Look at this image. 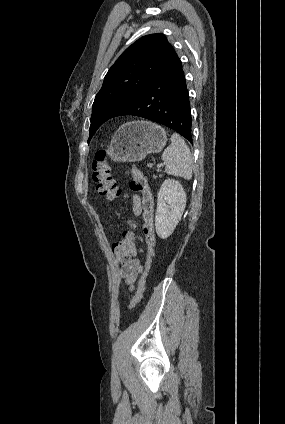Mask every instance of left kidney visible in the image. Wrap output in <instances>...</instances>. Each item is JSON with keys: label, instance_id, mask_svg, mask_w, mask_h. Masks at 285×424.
Segmentation results:
<instances>
[{"label": "left kidney", "instance_id": "1", "mask_svg": "<svg viewBox=\"0 0 285 424\" xmlns=\"http://www.w3.org/2000/svg\"><path fill=\"white\" fill-rule=\"evenodd\" d=\"M186 206V193L175 179H166L157 195L155 215L156 233L161 239L168 238L178 225Z\"/></svg>", "mask_w": 285, "mask_h": 424}]
</instances>
